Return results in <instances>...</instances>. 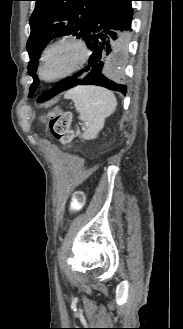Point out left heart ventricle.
<instances>
[{"label": "left heart ventricle", "mask_w": 183, "mask_h": 329, "mask_svg": "<svg viewBox=\"0 0 183 329\" xmlns=\"http://www.w3.org/2000/svg\"><path fill=\"white\" fill-rule=\"evenodd\" d=\"M81 54L80 48L71 42L54 47L45 58L43 65L44 76L53 78L72 69L80 61Z\"/></svg>", "instance_id": "1"}]
</instances>
